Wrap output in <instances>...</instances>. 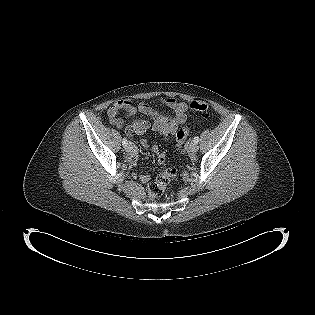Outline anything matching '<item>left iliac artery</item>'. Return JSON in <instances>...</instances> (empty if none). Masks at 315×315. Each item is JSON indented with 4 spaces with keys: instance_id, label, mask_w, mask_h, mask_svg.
<instances>
[{
    "instance_id": "obj_1",
    "label": "left iliac artery",
    "mask_w": 315,
    "mask_h": 315,
    "mask_svg": "<svg viewBox=\"0 0 315 315\" xmlns=\"http://www.w3.org/2000/svg\"><path fill=\"white\" fill-rule=\"evenodd\" d=\"M193 142L198 143L199 142V137L198 136L194 137Z\"/></svg>"
}]
</instances>
